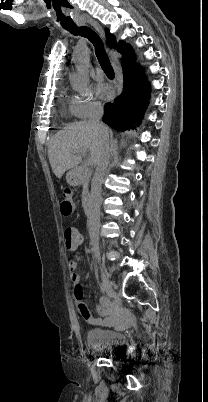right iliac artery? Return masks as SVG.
Returning a JSON list of instances; mask_svg holds the SVG:
<instances>
[{"mask_svg": "<svg viewBox=\"0 0 208 402\" xmlns=\"http://www.w3.org/2000/svg\"><path fill=\"white\" fill-rule=\"evenodd\" d=\"M100 289H101L102 293H104V294L107 293V289H106V287L104 286L103 283L100 284Z\"/></svg>", "mask_w": 208, "mask_h": 402, "instance_id": "right-iliac-artery-1", "label": "right iliac artery"}]
</instances>
